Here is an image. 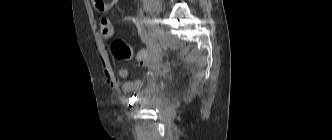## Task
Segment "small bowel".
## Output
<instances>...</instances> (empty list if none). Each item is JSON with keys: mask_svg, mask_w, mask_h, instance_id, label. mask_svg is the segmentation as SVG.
Listing matches in <instances>:
<instances>
[{"mask_svg": "<svg viewBox=\"0 0 332 140\" xmlns=\"http://www.w3.org/2000/svg\"><path fill=\"white\" fill-rule=\"evenodd\" d=\"M145 43H146V49L139 51L137 54V59L139 60L142 66H147L150 63H152L157 57L159 51L158 43L155 40L146 37ZM103 68L108 83L114 88L120 87L124 93L136 92L144 86V81L141 79H135L133 77H130L128 69L124 66H120L117 72L120 78L126 79V81L123 82L122 84L115 76L108 61L104 60ZM147 76L149 79L153 78V74L150 72L148 73Z\"/></svg>", "mask_w": 332, "mask_h": 140, "instance_id": "1", "label": "small bowel"}]
</instances>
